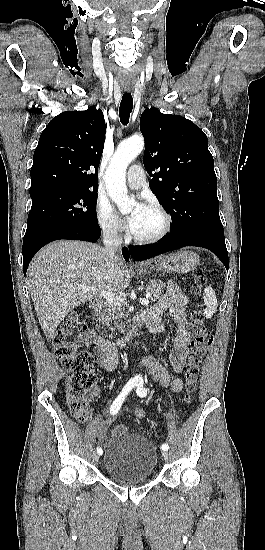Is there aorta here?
Segmentation results:
<instances>
[{
    "label": "aorta",
    "mask_w": 265,
    "mask_h": 550,
    "mask_svg": "<svg viewBox=\"0 0 265 550\" xmlns=\"http://www.w3.org/2000/svg\"><path fill=\"white\" fill-rule=\"evenodd\" d=\"M143 147L144 139L139 135L122 142L106 170L105 184L108 195L121 213L128 212L134 204V200L130 199L127 193L125 175L128 165L141 153Z\"/></svg>",
    "instance_id": "1"
}]
</instances>
